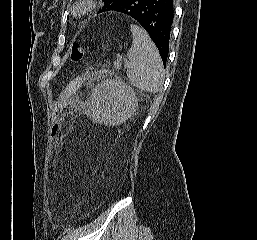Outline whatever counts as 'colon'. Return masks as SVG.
Segmentation results:
<instances>
[{
  "label": "colon",
  "instance_id": "5ec220e1",
  "mask_svg": "<svg viewBox=\"0 0 257 240\" xmlns=\"http://www.w3.org/2000/svg\"><path fill=\"white\" fill-rule=\"evenodd\" d=\"M84 54V49L81 44L74 43L71 47L70 51V59L73 62H78L82 59ZM62 128V116H61V110L56 104L54 106L53 112H52V118H51V126H50V135L52 138H57L60 134Z\"/></svg>",
  "mask_w": 257,
  "mask_h": 240
}]
</instances>
